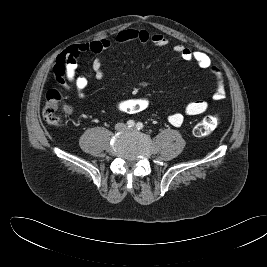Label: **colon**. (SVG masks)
Instances as JSON below:
<instances>
[{
  "instance_id": "1",
  "label": "colon",
  "mask_w": 267,
  "mask_h": 267,
  "mask_svg": "<svg viewBox=\"0 0 267 267\" xmlns=\"http://www.w3.org/2000/svg\"><path fill=\"white\" fill-rule=\"evenodd\" d=\"M149 107L146 98H127L117 103V108L124 113H138ZM66 108L62 104V96L57 90H50L46 95V103L43 108L44 120L52 126H59L63 122ZM219 124L217 116H206L194 127V134L204 137L211 134Z\"/></svg>"
}]
</instances>
